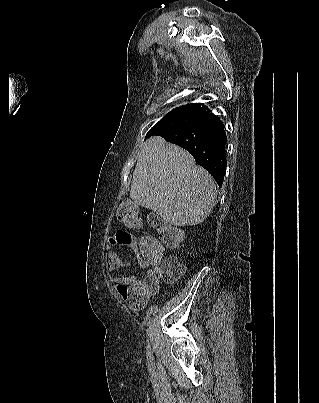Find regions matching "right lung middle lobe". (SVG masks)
Here are the masks:
<instances>
[{"instance_id":"right-lung-middle-lobe-1","label":"right lung middle lobe","mask_w":319,"mask_h":403,"mask_svg":"<svg viewBox=\"0 0 319 403\" xmlns=\"http://www.w3.org/2000/svg\"><path fill=\"white\" fill-rule=\"evenodd\" d=\"M211 115L199 104H187L172 110L157 122L147 133L146 137L152 136L155 132L169 127H180Z\"/></svg>"}]
</instances>
